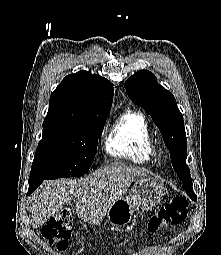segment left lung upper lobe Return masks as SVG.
<instances>
[{"label": "left lung upper lobe", "instance_id": "1", "mask_svg": "<svg viewBox=\"0 0 221 255\" xmlns=\"http://www.w3.org/2000/svg\"><path fill=\"white\" fill-rule=\"evenodd\" d=\"M125 88L131 100L150 114L163 136L170 152L172 166L184 184L187 195L194 201L190 170L186 164L187 139L183 116L171 92L157 83L149 71L142 70L132 75Z\"/></svg>", "mask_w": 221, "mask_h": 255}]
</instances>
